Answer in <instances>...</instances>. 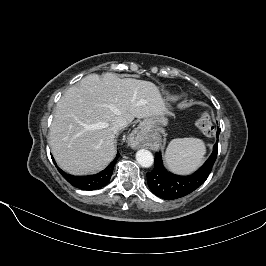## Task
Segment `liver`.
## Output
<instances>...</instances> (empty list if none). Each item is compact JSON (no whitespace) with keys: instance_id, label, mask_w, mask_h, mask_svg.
Segmentation results:
<instances>
[{"instance_id":"6515ba94","label":"liver","mask_w":266,"mask_h":266,"mask_svg":"<svg viewBox=\"0 0 266 266\" xmlns=\"http://www.w3.org/2000/svg\"><path fill=\"white\" fill-rule=\"evenodd\" d=\"M169 113L158 87L116 74H90L70 87L56 105L49 138L58 165L71 174L104 169L116 154L112 120Z\"/></svg>"}]
</instances>
